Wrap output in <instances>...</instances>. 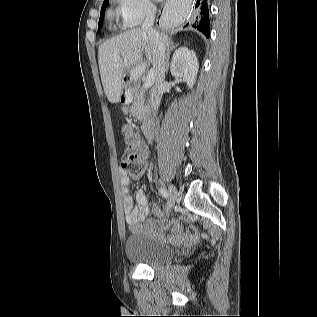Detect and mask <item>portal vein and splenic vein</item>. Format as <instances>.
Here are the masks:
<instances>
[{
  "label": "portal vein and splenic vein",
  "mask_w": 317,
  "mask_h": 317,
  "mask_svg": "<svg viewBox=\"0 0 317 317\" xmlns=\"http://www.w3.org/2000/svg\"><path fill=\"white\" fill-rule=\"evenodd\" d=\"M154 76H155L154 70L150 69V71L147 74V77H146V80L144 82V85H143L144 88H149L153 84Z\"/></svg>",
  "instance_id": "obj_1"
}]
</instances>
